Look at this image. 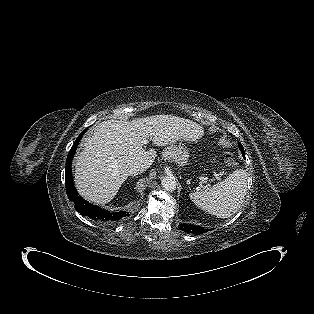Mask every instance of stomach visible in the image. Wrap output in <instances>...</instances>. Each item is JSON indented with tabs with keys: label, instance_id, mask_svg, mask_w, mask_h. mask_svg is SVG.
<instances>
[{
	"label": "stomach",
	"instance_id": "obj_1",
	"mask_svg": "<svg viewBox=\"0 0 314 314\" xmlns=\"http://www.w3.org/2000/svg\"><path fill=\"white\" fill-rule=\"evenodd\" d=\"M189 157V150L182 142H173L164 151V158L173 160L180 166L187 163Z\"/></svg>",
	"mask_w": 314,
	"mask_h": 314
}]
</instances>
